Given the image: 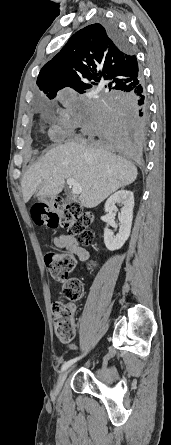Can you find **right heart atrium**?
<instances>
[{
	"mask_svg": "<svg viewBox=\"0 0 171 445\" xmlns=\"http://www.w3.org/2000/svg\"><path fill=\"white\" fill-rule=\"evenodd\" d=\"M71 119V114L68 111H63L57 119V124L55 125L52 132V137L60 138L64 136L69 128Z\"/></svg>",
	"mask_w": 171,
	"mask_h": 445,
	"instance_id": "d8ad5b80",
	"label": "right heart atrium"
}]
</instances>
